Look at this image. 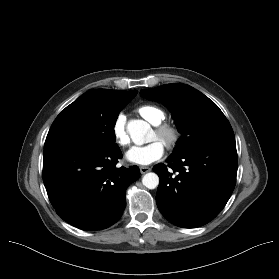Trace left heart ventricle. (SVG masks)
Returning a JSON list of instances; mask_svg holds the SVG:
<instances>
[{
    "instance_id": "obj_1",
    "label": "left heart ventricle",
    "mask_w": 279,
    "mask_h": 279,
    "mask_svg": "<svg viewBox=\"0 0 279 279\" xmlns=\"http://www.w3.org/2000/svg\"><path fill=\"white\" fill-rule=\"evenodd\" d=\"M154 139H156V134H155V132H153V134H152V136H151V140H154Z\"/></svg>"
}]
</instances>
